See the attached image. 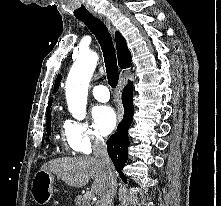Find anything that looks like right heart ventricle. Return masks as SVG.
Segmentation results:
<instances>
[{"label":"right heart ventricle","instance_id":"right-heart-ventricle-1","mask_svg":"<svg viewBox=\"0 0 221 206\" xmlns=\"http://www.w3.org/2000/svg\"><path fill=\"white\" fill-rule=\"evenodd\" d=\"M58 131L60 139L65 146L66 149H71V137H70V131H71V121L70 120H59L58 121Z\"/></svg>","mask_w":221,"mask_h":206}]
</instances>
